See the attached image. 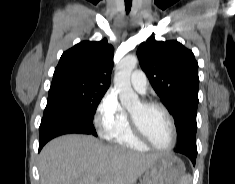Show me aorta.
<instances>
[{"label": "aorta", "instance_id": "762f6f07", "mask_svg": "<svg viewBox=\"0 0 235 184\" xmlns=\"http://www.w3.org/2000/svg\"><path fill=\"white\" fill-rule=\"evenodd\" d=\"M138 60L136 56H126L119 62L114 76V88L119 94L120 102L124 108L140 106L139 96L131 88L132 70L136 68Z\"/></svg>", "mask_w": 235, "mask_h": 184}]
</instances>
